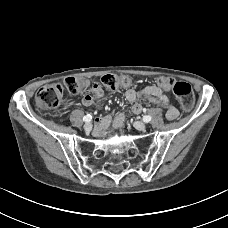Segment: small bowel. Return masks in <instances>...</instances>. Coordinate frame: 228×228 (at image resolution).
<instances>
[{
    "label": "small bowel",
    "mask_w": 228,
    "mask_h": 228,
    "mask_svg": "<svg viewBox=\"0 0 228 228\" xmlns=\"http://www.w3.org/2000/svg\"><path fill=\"white\" fill-rule=\"evenodd\" d=\"M103 97V91L98 85H94L91 93L83 97L82 103L85 106H92L100 103ZM127 101L133 103L131 110L135 114L142 112V106L137 103L139 99H143L150 104L159 105L166 109V117L169 120H174L178 117L179 111L172 102L170 96L159 86L149 85L141 90L128 89L125 92ZM125 121V114L119 113L115 117L106 115L98 120V127L101 129L107 128L111 123L116 127H122Z\"/></svg>",
    "instance_id": "c3829d8e"
}]
</instances>
